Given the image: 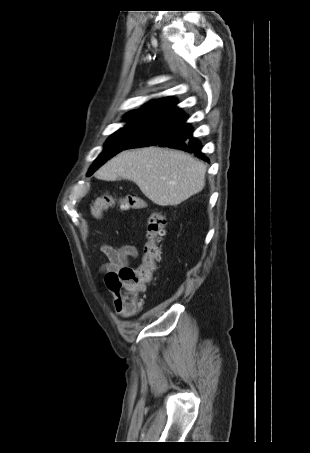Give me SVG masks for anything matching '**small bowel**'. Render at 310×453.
<instances>
[{
	"label": "small bowel",
	"mask_w": 310,
	"mask_h": 453,
	"mask_svg": "<svg viewBox=\"0 0 310 453\" xmlns=\"http://www.w3.org/2000/svg\"><path fill=\"white\" fill-rule=\"evenodd\" d=\"M100 250L108 258V263L101 268V271L106 275L118 273L122 268L128 266L130 258L136 259L139 256L137 248L131 244H125L115 248L103 242Z\"/></svg>",
	"instance_id": "c3829d8e"
}]
</instances>
